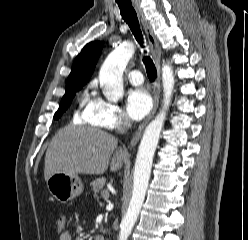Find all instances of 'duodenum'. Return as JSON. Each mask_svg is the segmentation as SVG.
<instances>
[{"label": "duodenum", "mask_w": 248, "mask_h": 240, "mask_svg": "<svg viewBox=\"0 0 248 240\" xmlns=\"http://www.w3.org/2000/svg\"><path fill=\"white\" fill-rule=\"evenodd\" d=\"M96 240H105V238H103V237H101V236H98V237L96 238Z\"/></svg>", "instance_id": "obj_1"}]
</instances>
